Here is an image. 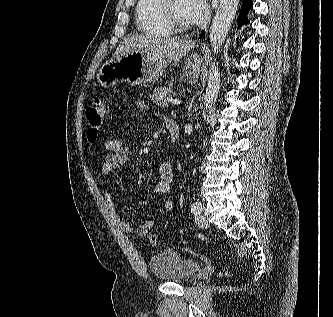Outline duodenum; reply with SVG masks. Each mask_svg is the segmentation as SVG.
<instances>
[{"mask_svg":"<svg viewBox=\"0 0 333 317\" xmlns=\"http://www.w3.org/2000/svg\"><path fill=\"white\" fill-rule=\"evenodd\" d=\"M166 125L171 141L176 142L180 136L179 124L175 121L168 120Z\"/></svg>","mask_w":333,"mask_h":317,"instance_id":"410a0bca","label":"duodenum"}]
</instances>
